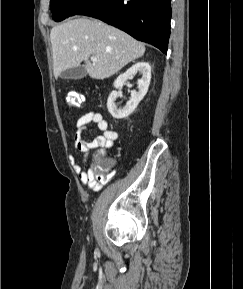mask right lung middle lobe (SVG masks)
<instances>
[{
  "instance_id": "obj_1",
  "label": "right lung middle lobe",
  "mask_w": 243,
  "mask_h": 289,
  "mask_svg": "<svg viewBox=\"0 0 243 289\" xmlns=\"http://www.w3.org/2000/svg\"><path fill=\"white\" fill-rule=\"evenodd\" d=\"M86 0H51L53 19L57 22L64 20L82 5Z\"/></svg>"
}]
</instances>
